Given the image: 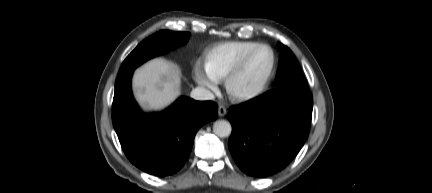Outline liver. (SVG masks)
<instances>
[{
  "label": "liver",
  "instance_id": "liver-1",
  "mask_svg": "<svg viewBox=\"0 0 432 193\" xmlns=\"http://www.w3.org/2000/svg\"><path fill=\"white\" fill-rule=\"evenodd\" d=\"M133 85L141 106L159 111L180 95L181 69L172 62L155 58L135 71Z\"/></svg>",
  "mask_w": 432,
  "mask_h": 193
}]
</instances>
